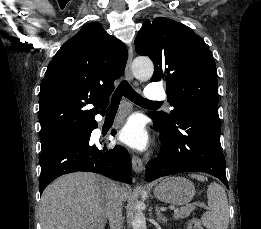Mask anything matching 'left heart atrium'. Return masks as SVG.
<instances>
[{"label": "left heart atrium", "mask_w": 261, "mask_h": 229, "mask_svg": "<svg viewBox=\"0 0 261 229\" xmlns=\"http://www.w3.org/2000/svg\"><path fill=\"white\" fill-rule=\"evenodd\" d=\"M118 142L137 150H143L148 144V132L143 121L137 117L130 118L117 134Z\"/></svg>", "instance_id": "39dd6f15"}]
</instances>
